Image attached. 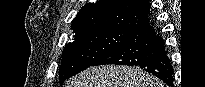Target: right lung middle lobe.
I'll list each match as a JSON object with an SVG mask.
<instances>
[{
	"label": "right lung middle lobe",
	"instance_id": "right-lung-middle-lobe-1",
	"mask_svg": "<svg viewBox=\"0 0 205 87\" xmlns=\"http://www.w3.org/2000/svg\"><path fill=\"white\" fill-rule=\"evenodd\" d=\"M132 33L119 30H97L74 36L65 45L60 66V84L80 71L93 66L114 50Z\"/></svg>",
	"mask_w": 205,
	"mask_h": 87
}]
</instances>
